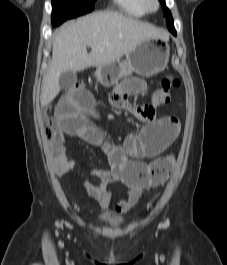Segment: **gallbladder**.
<instances>
[{
  "instance_id": "bac80fb5",
  "label": "gallbladder",
  "mask_w": 227,
  "mask_h": 265,
  "mask_svg": "<svg viewBox=\"0 0 227 265\" xmlns=\"http://www.w3.org/2000/svg\"><path fill=\"white\" fill-rule=\"evenodd\" d=\"M77 81L76 72L67 71L63 72L59 79V85L62 89H68L73 86Z\"/></svg>"
}]
</instances>
